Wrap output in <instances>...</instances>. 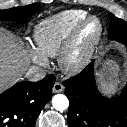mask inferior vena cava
Masks as SVG:
<instances>
[{
  "instance_id": "obj_1",
  "label": "inferior vena cava",
  "mask_w": 127,
  "mask_h": 127,
  "mask_svg": "<svg viewBox=\"0 0 127 127\" xmlns=\"http://www.w3.org/2000/svg\"><path fill=\"white\" fill-rule=\"evenodd\" d=\"M45 76L46 71L43 68L37 66L30 67L26 72V77L28 80L33 82L40 81L45 78Z\"/></svg>"
}]
</instances>
